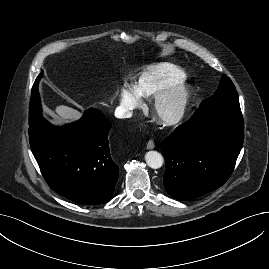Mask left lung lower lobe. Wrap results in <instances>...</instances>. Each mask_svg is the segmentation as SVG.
Listing matches in <instances>:
<instances>
[{"label": "left lung lower lobe", "mask_w": 269, "mask_h": 269, "mask_svg": "<svg viewBox=\"0 0 269 269\" xmlns=\"http://www.w3.org/2000/svg\"><path fill=\"white\" fill-rule=\"evenodd\" d=\"M205 101L160 144L166 162L163 183L177 200L194 199L222 186L244 141L240 105L207 109Z\"/></svg>", "instance_id": "0a47b994"}]
</instances>
